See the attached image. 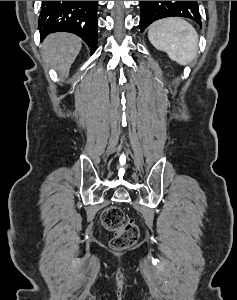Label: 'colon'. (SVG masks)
Segmentation results:
<instances>
[{
    "label": "colon",
    "instance_id": "1",
    "mask_svg": "<svg viewBox=\"0 0 237 300\" xmlns=\"http://www.w3.org/2000/svg\"><path fill=\"white\" fill-rule=\"evenodd\" d=\"M102 225L113 232L111 248L121 251L134 246L139 239V229L132 219H126L117 206L106 208L101 215Z\"/></svg>",
    "mask_w": 237,
    "mask_h": 300
}]
</instances>
